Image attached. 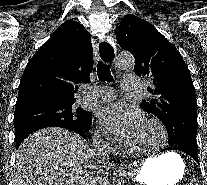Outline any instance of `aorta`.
<instances>
[{"label": "aorta", "instance_id": "aorta-1", "mask_svg": "<svg viewBox=\"0 0 207 185\" xmlns=\"http://www.w3.org/2000/svg\"><path fill=\"white\" fill-rule=\"evenodd\" d=\"M135 60L130 53H120L116 57V65L122 70H129L134 67Z\"/></svg>", "mask_w": 207, "mask_h": 185}]
</instances>
